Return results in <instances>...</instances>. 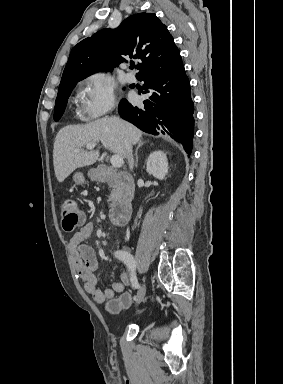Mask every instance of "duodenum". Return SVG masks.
<instances>
[{"label":"duodenum","instance_id":"duodenum-1","mask_svg":"<svg viewBox=\"0 0 283 384\" xmlns=\"http://www.w3.org/2000/svg\"><path fill=\"white\" fill-rule=\"evenodd\" d=\"M98 181L109 182L120 188L119 202L110 213V220L116 226H125L131 219L134 200V184L128 172H115L108 165H99L95 169Z\"/></svg>","mask_w":283,"mask_h":384}]
</instances>
